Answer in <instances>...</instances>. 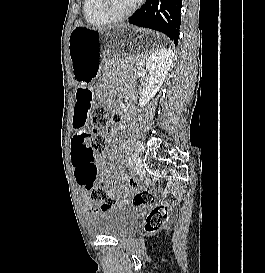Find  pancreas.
I'll list each match as a JSON object with an SVG mask.
<instances>
[{
    "label": "pancreas",
    "instance_id": "1",
    "mask_svg": "<svg viewBox=\"0 0 265 273\" xmlns=\"http://www.w3.org/2000/svg\"><path fill=\"white\" fill-rule=\"evenodd\" d=\"M128 60V62L131 64V65H134V64H137V63H140V62H143L144 59L141 57V56H138V57H135V58H126Z\"/></svg>",
    "mask_w": 265,
    "mask_h": 273
}]
</instances>
